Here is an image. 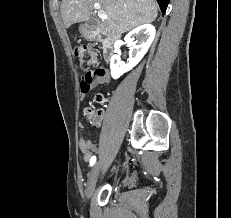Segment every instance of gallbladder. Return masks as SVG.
<instances>
[{
    "label": "gallbladder",
    "instance_id": "obj_1",
    "mask_svg": "<svg viewBox=\"0 0 231 218\" xmlns=\"http://www.w3.org/2000/svg\"><path fill=\"white\" fill-rule=\"evenodd\" d=\"M93 25H94V20L92 18H90L89 20H87L86 26H93Z\"/></svg>",
    "mask_w": 231,
    "mask_h": 218
}]
</instances>
